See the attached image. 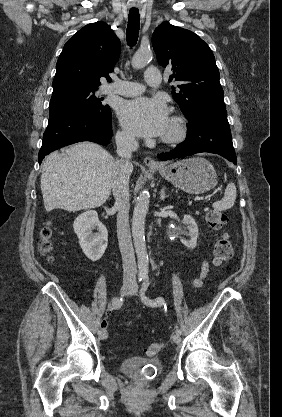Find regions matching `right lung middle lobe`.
<instances>
[{"mask_svg":"<svg viewBox=\"0 0 282 417\" xmlns=\"http://www.w3.org/2000/svg\"><path fill=\"white\" fill-rule=\"evenodd\" d=\"M97 88L74 89L52 94L49 107V115L67 110V109H84L95 110L96 112H106L110 109L108 105H103L95 96Z\"/></svg>","mask_w":282,"mask_h":417,"instance_id":"obj_1","label":"right lung middle lobe"}]
</instances>
